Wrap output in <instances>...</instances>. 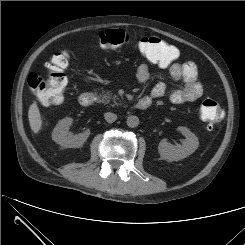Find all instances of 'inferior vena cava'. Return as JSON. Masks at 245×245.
<instances>
[{
  "label": "inferior vena cava",
  "mask_w": 245,
  "mask_h": 245,
  "mask_svg": "<svg viewBox=\"0 0 245 245\" xmlns=\"http://www.w3.org/2000/svg\"><path fill=\"white\" fill-rule=\"evenodd\" d=\"M104 117H105V120L108 122V123H113L117 120V115L114 114V113H111V112H107L104 114Z\"/></svg>",
  "instance_id": "602c4592"
}]
</instances>
